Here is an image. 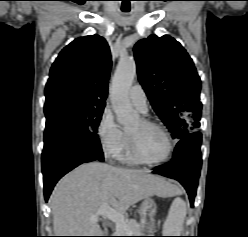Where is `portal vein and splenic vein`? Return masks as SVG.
<instances>
[{"mask_svg": "<svg viewBox=\"0 0 248 237\" xmlns=\"http://www.w3.org/2000/svg\"><path fill=\"white\" fill-rule=\"evenodd\" d=\"M99 216L107 217L109 220L115 223L118 229L126 227V220L123 214L112 209L108 203L103 204L96 212V214L90 216V221L97 222Z\"/></svg>", "mask_w": 248, "mask_h": 237, "instance_id": "18ae733b", "label": "portal vein and splenic vein"}]
</instances>
